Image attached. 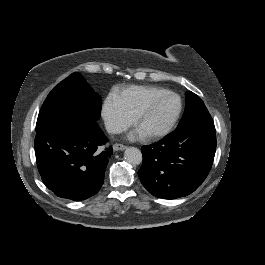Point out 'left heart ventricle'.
Returning a JSON list of instances; mask_svg holds the SVG:
<instances>
[{"instance_id":"left-heart-ventricle-1","label":"left heart ventricle","mask_w":265,"mask_h":265,"mask_svg":"<svg viewBox=\"0 0 265 265\" xmlns=\"http://www.w3.org/2000/svg\"><path fill=\"white\" fill-rule=\"evenodd\" d=\"M179 101L176 97L168 93H161L157 95L146 111L142 115L137 126L143 133H150L157 129L161 124L171 119L177 112Z\"/></svg>"}]
</instances>
